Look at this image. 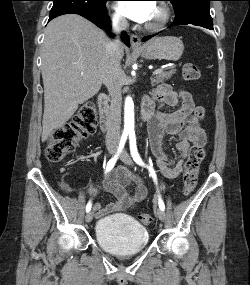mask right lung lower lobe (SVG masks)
<instances>
[{"mask_svg":"<svg viewBox=\"0 0 250 285\" xmlns=\"http://www.w3.org/2000/svg\"><path fill=\"white\" fill-rule=\"evenodd\" d=\"M65 14L81 15V16L85 17L86 19L90 20L91 22H93L99 28H101V29L106 28L107 32H110V25L108 23L109 22V16L106 14V9H104L103 11H98V12L77 10V11L67 12ZM53 18H55V17H49V21L52 20ZM122 40L127 46H130V40H129V37L126 34V32L122 33Z\"/></svg>","mask_w":250,"mask_h":285,"instance_id":"obj_1","label":"right lung lower lobe"}]
</instances>
